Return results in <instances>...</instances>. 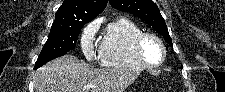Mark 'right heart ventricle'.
Masks as SVG:
<instances>
[{"label": "right heart ventricle", "mask_w": 225, "mask_h": 92, "mask_svg": "<svg viewBox=\"0 0 225 92\" xmlns=\"http://www.w3.org/2000/svg\"><path fill=\"white\" fill-rule=\"evenodd\" d=\"M142 29L126 17L111 20L105 29L99 46L102 66L107 68H140L132 43Z\"/></svg>", "instance_id": "right-heart-ventricle-1"}]
</instances>
